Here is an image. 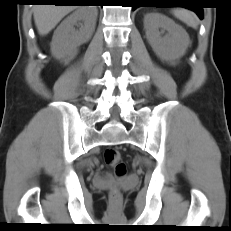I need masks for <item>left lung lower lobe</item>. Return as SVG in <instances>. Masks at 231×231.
Instances as JSON below:
<instances>
[{"mask_svg": "<svg viewBox=\"0 0 231 231\" xmlns=\"http://www.w3.org/2000/svg\"><path fill=\"white\" fill-rule=\"evenodd\" d=\"M162 0H133L134 4H133V10H135L138 7H157L158 2H160ZM180 3H186V4H190L192 6H184L186 8H189L191 10H193L194 12H196L198 14V16L200 17V19H203V9L202 7H197V2L194 1H185V2H180Z\"/></svg>", "mask_w": 231, "mask_h": 231, "instance_id": "0a47b994", "label": "left lung lower lobe"}]
</instances>
